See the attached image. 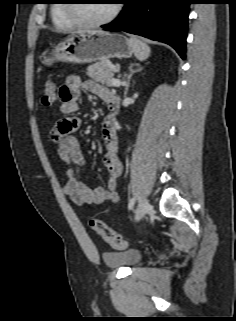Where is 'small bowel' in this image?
<instances>
[{"label":"small bowel","mask_w":236,"mask_h":321,"mask_svg":"<svg viewBox=\"0 0 236 321\" xmlns=\"http://www.w3.org/2000/svg\"><path fill=\"white\" fill-rule=\"evenodd\" d=\"M81 90H86L107 103L112 96L110 90L97 81H82L77 75L68 76L60 88L59 108L63 117L52 127L50 138L57 144L60 159L69 165L63 191L75 204L80 206L99 205L107 201L116 202L119 199L118 182L122 174V164L118 156L117 124L111 115L104 118L101 128L105 144L103 163L109 174L107 187L91 189L80 180L81 168L85 159L74 133L79 129L81 120L72 115L79 109L78 101Z\"/></svg>","instance_id":"small-bowel-1"}]
</instances>
